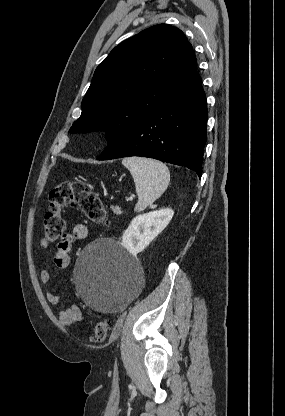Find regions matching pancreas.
<instances>
[{
	"label": "pancreas",
	"mask_w": 285,
	"mask_h": 416,
	"mask_svg": "<svg viewBox=\"0 0 285 416\" xmlns=\"http://www.w3.org/2000/svg\"><path fill=\"white\" fill-rule=\"evenodd\" d=\"M112 208H113L115 214H122L121 208H119V206H112Z\"/></svg>",
	"instance_id": "1"
}]
</instances>
